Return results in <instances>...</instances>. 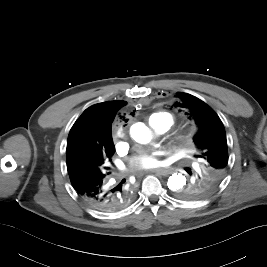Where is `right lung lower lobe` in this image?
Segmentation results:
<instances>
[{
  "label": "right lung lower lobe",
  "mask_w": 267,
  "mask_h": 267,
  "mask_svg": "<svg viewBox=\"0 0 267 267\" xmlns=\"http://www.w3.org/2000/svg\"><path fill=\"white\" fill-rule=\"evenodd\" d=\"M72 186L91 207L104 212L122 210L133 198L132 192L121 184L109 186L107 177L85 179Z\"/></svg>",
  "instance_id": "right-lung-lower-lobe-1"
}]
</instances>
